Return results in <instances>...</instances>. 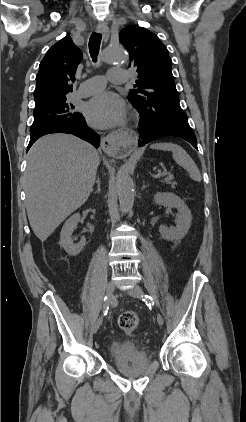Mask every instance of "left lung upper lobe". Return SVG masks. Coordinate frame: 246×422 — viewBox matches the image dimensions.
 <instances>
[{"label":"left lung upper lobe","instance_id":"1","mask_svg":"<svg viewBox=\"0 0 246 422\" xmlns=\"http://www.w3.org/2000/svg\"><path fill=\"white\" fill-rule=\"evenodd\" d=\"M127 49L138 80L128 100L148 124L162 120H187L179 104V95L171 71L172 61L165 45L146 28L127 26L119 33Z\"/></svg>","mask_w":246,"mask_h":422}]
</instances>
